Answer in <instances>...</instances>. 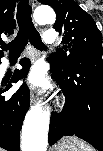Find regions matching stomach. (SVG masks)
Returning a JSON list of instances; mask_svg holds the SVG:
<instances>
[{
	"label": "stomach",
	"instance_id": "1",
	"mask_svg": "<svg viewBox=\"0 0 103 151\" xmlns=\"http://www.w3.org/2000/svg\"><path fill=\"white\" fill-rule=\"evenodd\" d=\"M55 151H80V147L72 138H64L56 145Z\"/></svg>",
	"mask_w": 103,
	"mask_h": 151
}]
</instances>
